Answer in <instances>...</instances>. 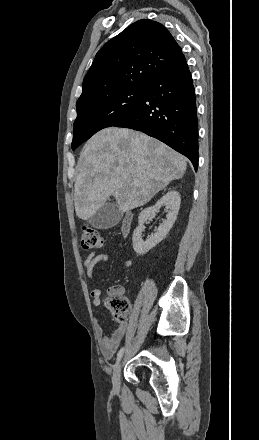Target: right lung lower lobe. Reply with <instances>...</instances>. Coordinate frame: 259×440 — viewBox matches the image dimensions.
Listing matches in <instances>:
<instances>
[{"mask_svg": "<svg viewBox=\"0 0 259 440\" xmlns=\"http://www.w3.org/2000/svg\"><path fill=\"white\" fill-rule=\"evenodd\" d=\"M152 136L198 167V120L195 90L185 57L157 76L137 107L114 124Z\"/></svg>", "mask_w": 259, "mask_h": 440, "instance_id": "1", "label": "right lung lower lobe"}]
</instances>
